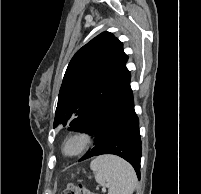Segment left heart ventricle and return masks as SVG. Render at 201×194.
<instances>
[{
	"label": "left heart ventricle",
	"mask_w": 201,
	"mask_h": 194,
	"mask_svg": "<svg viewBox=\"0 0 201 194\" xmlns=\"http://www.w3.org/2000/svg\"><path fill=\"white\" fill-rule=\"evenodd\" d=\"M76 148H77V143H71V144L68 146L67 150H68V151H73V150H75Z\"/></svg>",
	"instance_id": "1"
}]
</instances>
